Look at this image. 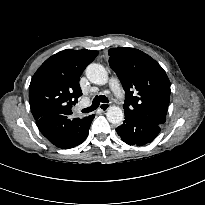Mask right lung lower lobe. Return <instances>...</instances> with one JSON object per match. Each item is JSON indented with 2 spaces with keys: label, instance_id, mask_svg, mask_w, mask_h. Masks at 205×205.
<instances>
[{
  "label": "right lung lower lobe",
  "instance_id": "right-lung-lower-lobe-1",
  "mask_svg": "<svg viewBox=\"0 0 205 205\" xmlns=\"http://www.w3.org/2000/svg\"><path fill=\"white\" fill-rule=\"evenodd\" d=\"M94 115L73 123L66 115L49 113L36 120L40 132L55 146L69 149L81 144L88 136Z\"/></svg>",
  "mask_w": 205,
  "mask_h": 205
}]
</instances>
